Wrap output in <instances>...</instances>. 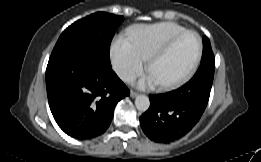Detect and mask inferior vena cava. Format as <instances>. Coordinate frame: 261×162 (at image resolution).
I'll return each instance as SVG.
<instances>
[{
  "mask_svg": "<svg viewBox=\"0 0 261 162\" xmlns=\"http://www.w3.org/2000/svg\"><path fill=\"white\" fill-rule=\"evenodd\" d=\"M120 77L122 80H124L125 82H132V81H135L136 80V76L130 72H127V71H123L121 74H120Z\"/></svg>",
  "mask_w": 261,
  "mask_h": 162,
  "instance_id": "602c4592",
  "label": "inferior vena cava"
}]
</instances>
